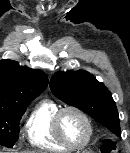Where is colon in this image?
I'll use <instances>...</instances> for the list:
<instances>
[{
  "instance_id": "5ec220e1",
  "label": "colon",
  "mask_w": 130,
  "mask_h": 153,
  "mask_svg": "<svg viewBox=\"0 0 130 153\" xmlns=\"http://www.w3.org/2000/svg\"><path fill=\"white\" fill-rule=\"evenodd\" d=\"M115 150H116L115 143L111 139H105L102 144L101 151L103 153H112L115 152Z\"/></svg>"
}]
</instances>
